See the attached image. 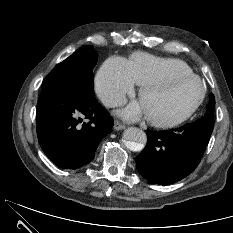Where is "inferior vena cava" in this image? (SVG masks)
<instances>
[{"instance_id":"obj_1","label":"inferior vena cava","mask_w":233,"mask_h":233,"mask_svg":"<svg viewBox=\"0 0 233 233\" xmlns=\"http://www.w3.org/2000/svg\"><path fill=\"white\" fill-rule=\"evenodd\" d=\"M103 104L107 107H118L125 104V98L122 95H109L103 99Z\"/></svg>"}]
</instances>
